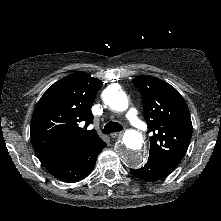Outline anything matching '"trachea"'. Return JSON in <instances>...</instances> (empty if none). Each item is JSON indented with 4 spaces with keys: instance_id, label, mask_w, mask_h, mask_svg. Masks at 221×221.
<instances>
[{
    "instance_id": "obj_1",
    "label": "trachea",
    "mask_w": 221,
    "mask_h": 221,
    "mask_svg": "<svg viewBox=\"0 0 221 221\" xmlns=\"http://www.w3.org/2000/svg\"><path fill=\"white\" fill-rule=\"evenodd\" d=\"M123 130V126L117 122L110 121L105 125V127L102 129V132L105 134H110L112 132H119Z\"/></svg>"
}]
</instances>
